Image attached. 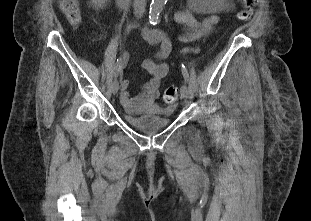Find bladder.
I'll return each mask as SVG.
<instances>
[{"label":"bladder","mask_w":311,"mask_h":221,"mask_svg":"<svg viewBox=\"0 0 311 221\" xmlns=\"http://www.w3.org/2000/svg\"><path fill=\"white\" fill-rule=\"evenodd\" d=\"M142 112V113H141ZM125 124L134 126L139 133L155 135L159 130L167 128L172 123L171 108H134L133 111L127 108L121 109Z\"/></svg>","instance_id":"bladder-1"}]
</instances>
